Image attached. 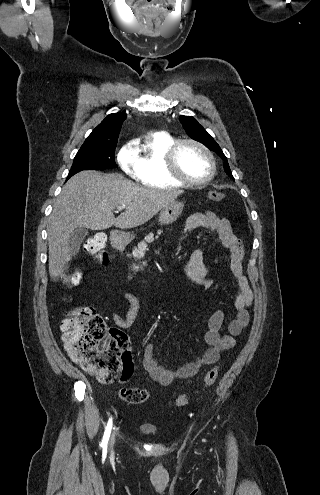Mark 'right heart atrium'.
Returning a JSON list of instances; mask_svg holds the SVG:
<instances>
[{"label":"right heart atrium","mask_w":320,"mask_h":495,"mask_svg":"<svg viewBox=\"0 0 320 495\" xmlns=\"http://www.w3.org/2000/svg\"><path fill=\"white\" fill-rule=\"evenodd\" d=\"M117 162L121 169L137 179L138 156L132 142L124 144L117 154Z\"/></svg>","instance_id":"obj_1"}]
</instances>
